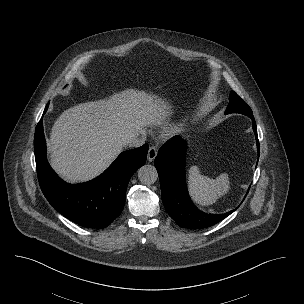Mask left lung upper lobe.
<instances>
[{
  "mask_svg": "<svg viewBox=\"0 0 304 304\" xmlns=\"http://www.w3.org/2000/svg\"><path fill=\"white\" fill-rule=\"evenodd\" d=\"M229 113H241L250 118L253 117L251 108L234 91H231L229 96L226 114Z\"/></svg>",
  "mask_w": 304,
  "mask_h": 304,
  "instance_id": "obj_1",
  "label": "left lung upper lobe"
}]
</instances>
